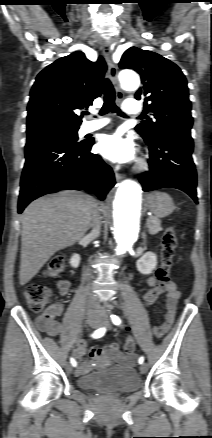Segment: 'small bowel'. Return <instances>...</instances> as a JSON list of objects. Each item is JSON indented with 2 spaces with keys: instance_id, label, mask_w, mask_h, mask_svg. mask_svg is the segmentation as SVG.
Instances as JSON below:
<instances>
[{
  "instance_id": "obj_1",
  "label": "small bowel",
  "mask_w": 212,
  "mask_h": 438,
  "mask_svg": "<svg viewBox=\"0 0 212 438\" xmlns=\"http://www.w3.org/2000/svg\"><path fill=\"white\" fill-rule=\"evenodd\" d=\"M149 286L156 285V279L154 277H150L146 280ZM69 282L67 280H60L58 282V289L61 295H66L69 290ZM180 292L177 289L176 285L173 282H169L166 287V314L164 317L163 323L155 327L154 333L161 337L166 334L171 328L177 310L178 301L180 299ZM63 311V307L61 304H52L47 308V310L38 317L37 321L39 327L46 332L50 336H57L60 332V323L58 321V317L61 315ZM87 345L84 340H80L77 343V347L74 351V355L76 358H81L86 353ZM102 356H111L115 359H118L123 362L131 363L134 359L133 356H124L120 350L119 345L117 343H111L107 346L101 347H93L90 350V357L92 359L100 358ZM93 367L92 361L83 362L80 367L77 369L78 375H84L91 371Z\"/></svg>"
}]
</instances>
